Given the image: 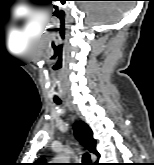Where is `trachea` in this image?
Instances as JSON below:
<instances>
[{
	"label": "trachea",
	"instance_id": "trachea-1",
	"mask_svg": "<svg viewBox=\"0 0 154 165\" xmlns=\"http://www.w3.org/2000/svg\"><path fill=\"white\" fill-rule=\"evenodd\" d=\"M54 102L56 104H60L61 103L60 99H58V98H55L54 99ZM80 165H92L91 158H90V155L88 153H86V154L83 155V157H82V163Z\"/></svg>",
	"mask_w": 154,
	"mask_h": 165
}]
</instances>
